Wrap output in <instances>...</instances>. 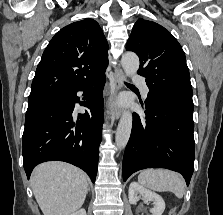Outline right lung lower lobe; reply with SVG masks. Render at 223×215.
I'll use <instances>...</instances> for the list:
<instances>
[{"label": "right lung lower lobe", "mask_w": 223, "mask_h": 215, "mask_svg": "<svg viewBox=\"0 0 223 215\" xmlns=\"http://www.w3.org/2000/svg\"><path fill=\"white\" fill-rule=\"evenodd\" d=\"M104 72L69 95L52 102L28 107L25 116L23 166L29 179L39 163L59 160L83 169L95 182L103 124ZM84 91L88 108L74 121L73 110L79 102L76 93Z\"/></svg>", "instance_id": "98d812e1"}]
</instances>
